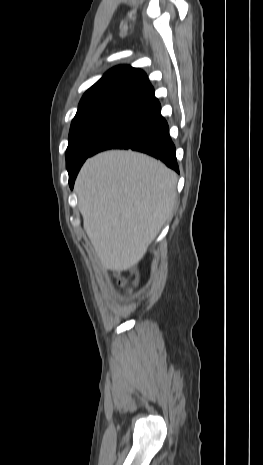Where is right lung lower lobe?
I'll use <instances>...</instances> for the list:
<instances>
[{
	"instance_id": "98d812e1",
	"label": "right lung lower lobe",
	"mask_w": 263,
	"mask_h": 465,
	"mask_svg": "<svg viewBox=\"0 0 263 465\" xmlns=\"http://www.w3.org/2000/svg\"><path fill=\"white\" fill-rule=\"evenodd\" d=\"M107 149H132L149 154L179 172L175 146L169 127L161 116V106L154 91L141 98L99 141L92 155ZM91 155V156H92ZM80 167L69 173L73 188Z\"/></svg>"
}]
</instances>
